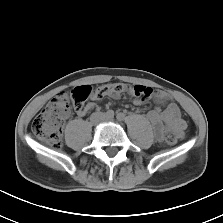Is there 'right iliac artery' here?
<instances>
[{
    "instance_id": "obj_1",
    "label": "right iliac artery",
    "mask_w": 223,
    "mask_h": 223,
    "mask_svg": "<svg viewBox=\"0 0 223 223\" xmlns=\"http://www.w3.org/2000/svg\"><path fill=\"white\" fill-rule=\"evenodd\" d=\"M106 115H107V117H114V111L113 110H108L107 112H106Z\"/></svg>"
}]
</instances>
